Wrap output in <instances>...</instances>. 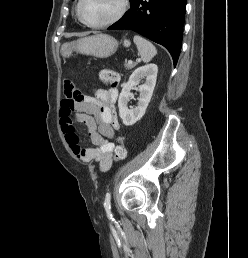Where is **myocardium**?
Here are the masks:
<instances>
[{
    "instance_id": "f54148a6",
    "label": "myocardium",
    "mask_w": 248,
    "mask_h": 258,
    "mask_svg": "<svg viewBox=\"0 0 248 258\" xmlns=\"http://www.w3.org/2000/svg\"><path fill=\"white\" fill-rule=\"evenodd\" d=\"M84 0H78V4H77V14L79 19L88 27L91 28H102V27H106L109 25H112L114 23H116L117 21H119L123 15L126 12L127 9V4H128V0H120V6L117 10V12L110 17L109 19L102 21L100 23H90L89 21L86 20V18L84 17L83 13H82V4H83Z\"/></svg>"
}]
</instances>
